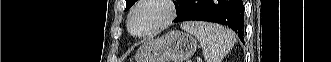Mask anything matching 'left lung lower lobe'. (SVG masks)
<instances>
[{"instance_id":"left-lung-lower-lobe-1","label":"left lung lower lobe","mask_w":331,"mask_h":62,"mask_svg":"<svg viewBox=\"0 0 331 62\" xmlns=\"http://www.w3.org/2000/svg\"><path fill=\"white\" fill-rule=\"evenodd\" d=\"M208 21L226 25L244 42V6L242 0H187L175 22Z\"/></svg>"}]
</instances>
